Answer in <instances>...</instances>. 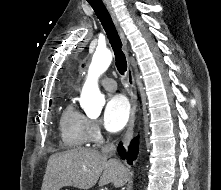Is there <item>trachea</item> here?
Segmentation results:
<instances>
[{
    "label": "trachea",
    "mask_w": 221,
    "mask_h": 190,
    "mask_svg": "<svg viewBox=\"0 0 221 190\" xmlns=\"http://www.w3.org/2000/svg\"><path fill=\"white\" fill-rule=\"evenodd\" d=\"M88 2L95 11L99 20L101 21L102 26L107 34L109 42L114 51L117 70L122 76H124L127 71V61L122 50L121 39L115 28L113 20L102 1L99 0L97 2H91L90 0H88Z\"/></svg>",
    "instance_id": "trachea-1"
}]
</instances>
